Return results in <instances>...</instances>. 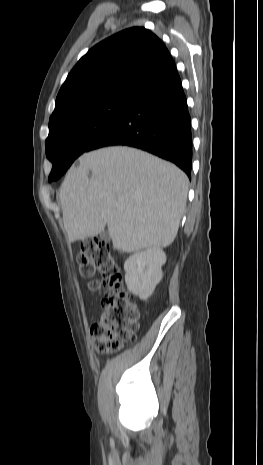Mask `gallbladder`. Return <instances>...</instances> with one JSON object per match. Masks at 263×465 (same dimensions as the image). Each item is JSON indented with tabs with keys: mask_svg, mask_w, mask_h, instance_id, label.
I'll list each match as a JSON object with an SVG mask.
<instances>
[{
	"mask_svg": "<svg viewBox=\"0 0 263 465\" xmlns=\"http://www.w3.org/2000/svg\"><path fill=\"white\" fill-rule=\"evenodd\" d=\"M100 238L106 242H109L110 241V234L107 230H103L101 233H100Z\"/></svg>",
	"mask_w": 263,
	"mask_h": 465,
	"instance_id": "obj_1",
	"label": "gallbladder"
}]
</instances>
